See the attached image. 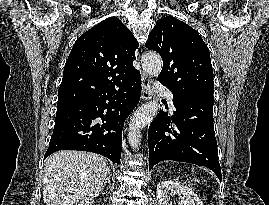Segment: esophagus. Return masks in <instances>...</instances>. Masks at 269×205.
<instances>
[{"mask_svg": "<svg viewBox=\"0 0 269 205\" xmlns=\"http://www.w3.org/2000/svg\"><path fill=\"white\" fill-rule=\"evenodd\" d=\"M142 78V95L141 98L143 101H148L153 97V89L151 84V79L145 73L141 74Z\"/></svg>", "mask_w": 269, "mask_h": 205, "instance_id": "esophagus-1", "label": "esophagus"}]
</instances>
